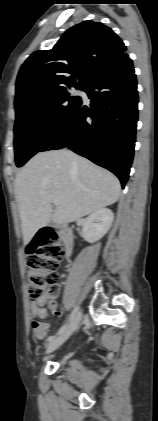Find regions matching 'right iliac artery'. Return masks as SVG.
Segmentation results:
<instances>
[{"instance_id":"right-iliac-artery-1","label":"right iliac artery","mask_w":158,"mask_h":421,"mask_svg":"<svg viewBox=\"0 0 158 421\" xmlns=\"http://www.w3.org/2000/svg\"><path fill=\"white\" fill-rule=\"evenodd\" d=\"M78 312V306H75L74 307V309L72 310V312H71V314H70V317H69V319H68V322L66 323V324H64L61 328H60V330L58 331V333L56 334V335H54V336H50V337H48V339H47V341H52L57 335H59V334H61V333H63L65 330H66V328H67V326H68V323L73 319V317L76 315V313Z\"/></svg>"}]
</instances>
